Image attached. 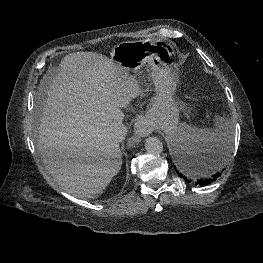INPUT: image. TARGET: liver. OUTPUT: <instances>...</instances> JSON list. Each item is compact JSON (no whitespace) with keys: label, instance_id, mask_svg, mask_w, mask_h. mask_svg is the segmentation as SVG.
<instances>
[{"label":"liver","instance_id":"6515ba94","mask_svg":"<svg viewBox=\"0 0 263 263\" xmlns=\"http://www.w3.org/2000/svg\"><path fill=\"white\" fill-rule=\"evenodd\" d=\"M46 88L38 150L48 172L66 192L80 198L103 193L120 171L122 153L111 125L140 92L128 70L94 52L65 56Z\"/></svg>","mask_w":263,"mask_h":263}]
</instances>
